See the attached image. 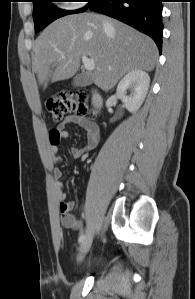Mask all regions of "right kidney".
I'll use <instances>...</instances> for the list:
<instances>
[{"instance_id":"right-kidney-1","label":"right kidney","mask_w":195,"mask_h":299,"mask_svg":"<svg viewBox=\"0 0 195 299\" xmlns=\"http://www.w3.org/2000/svg\"><path fill=\"white\" fill-rule=\"evenodd\" d=\"M150 84L149 75L143 70H132L128 72L119 82L116 94L123 102L126 109L135 113L141 107L147 95ZM127 90L132 93L127 95Z\"/></svg>"}]
</instances>
